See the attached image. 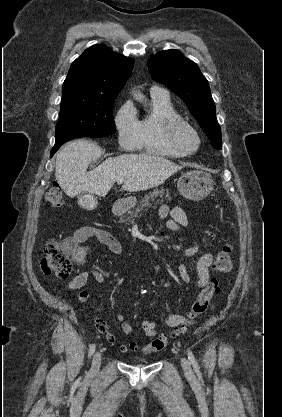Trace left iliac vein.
Returning a JSON list of instances; mask_svg holds the SVG:
<instances>
[{
	"label": "left iliac vein",
	"mask_w": 282,
	"mask_h": 417,
	"mask_svg": "<svg viewBox=\"0 0 282 417\" xmlns=\"http://www.w3.org/2000/svg\"><path fill=\"white\" fill-rule=\"evenodd\" d=\"M181 366H182L183 371L185 372V374H187V375L192 374V369H191L190 364H189V362L186 358L181 359Z\"/></svg>",
	"instance_id": "4c4485c4"
}]
</instances>
